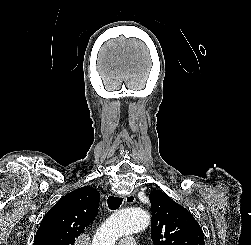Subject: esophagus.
<instances>
[{
    "instance_id": "esophagus-1",
    "label": "esophagus",
    "mask_w": 251,
    "mask_h": 245,
    "mask_svg": "<svg viewBox=\"0 0 251 245\" xmlns=\"http://www.w3.org/2000/svg\"><path fill=\"white\" fill-rule=\"evenodd\" d=\"M124 200L127 204H132L135 202V196L133 194H128L125 196Z\"/></svg>"
}]
</instances>
